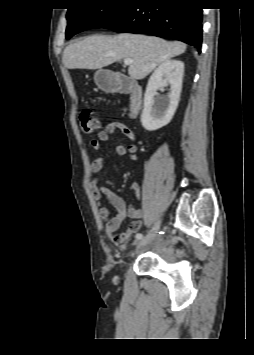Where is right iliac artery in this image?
<instances>
[{"label": "right iliac artery", "instance_id": "82829eb1", "mask_svg": "<svg viewBox=\"0 0 254 355\" xmlns=\"http://www.w3.org/2000/svg\"><path fill=\"white\" fill-rule=\"evenodd\" d=\"M143 238V235L141 233L136 234V239L141 240Z\"/></svg>", "mask_w": 254, "mask_h": 355}]
</instances>
